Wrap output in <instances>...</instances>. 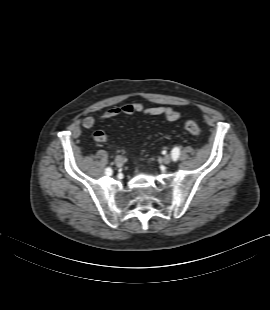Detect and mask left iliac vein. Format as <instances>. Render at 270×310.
<instances>
[{"instance_id": "left-iliac-vein-1", "label": "left iliac vein", "mask_w": 270, "mask_h": 310, "mask_svg": "<svg viewBox=\"0 0 270 310\" xmlns=\"http://www.w3.org/2000/svg\"><path fill=\"white\" fill-rule=\"evenodd\" d=\"M164 164H170L171 163V157L170 155H165L163 158Z\"/></svg>"}]
</instances>
